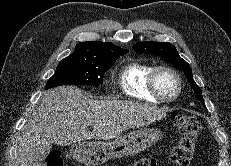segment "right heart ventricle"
<instances>
[{
  "label": "right heart ventricle",
  "mask_w": 231,
  "mask_h": 166,
  "mask_svg": "<svg viewBox=\"0 0 231 166\" xmlns=\"http://www.w3.org/2000/svg\"><path fill=\"white\" fill-rule=\"evenodd\" d=\"M153 68L152 64L141 61H132L125 65L119 75V85L123 93L135 100L158 102L148 88V78Z\"/></svg>",
  "instance_id": "right-heart-ventricle-1"
}]
</instances>
